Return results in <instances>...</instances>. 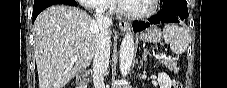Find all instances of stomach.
Returning a JSON list of instances; mask_svg holds the SVG:
<instances>
[{"mask_svg":"<svg viewBox=\"0 0 227 88\" xmlns=\"http://www.w3.org/2000/svg\"><path fill=\"white\" fill-rule=\"evenodd\" d=\"M139 38L143 42L159 43L162 39V33L158 27L154 26V27H150L146 31L142 32L140 34Z\"/></svg>","mask_w":227,"mask_h":88,"instance_id":"obj_1","label":"stomach"}]
</instances>
